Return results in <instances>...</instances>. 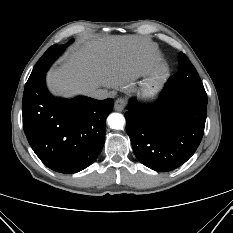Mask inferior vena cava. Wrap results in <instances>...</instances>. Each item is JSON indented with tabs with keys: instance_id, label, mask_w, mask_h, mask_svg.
<instances>
[{
	"instance_id": "1",
	"label": "inferior vena cava",
	"mask_w": 233,
	"mask_h": 233,
	"mask_svg": "<svg viewBox=\"0 0 233 233\" xmlns=\"http://www.w3.org/2000/svg\"><path fill=\"white\" fill-rule=\"evenodd\" d=\"M91 97L99 100L108 98V91L106 89H97L91 93Z\"/></svg>"
}]
</instances>
